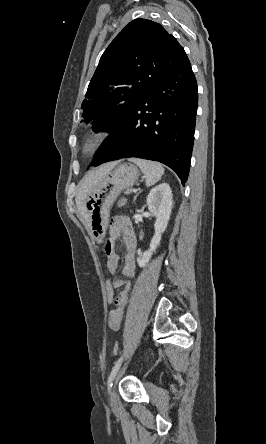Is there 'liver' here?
I'll return each mask as SVG.
<instances>
[{
    "label": "liver",
    "instance_id": "obj_1",
    "mask_svg": "<svg viewBox=\"0 0 266 444\" xmlns=\"http://www.w3.org/2000/svg\"><path fill=\"white\" fill-rule=\"evenodd\" d=\"M117 165V162L103 164L98 169L89 172L79 183L78 193L76 195V205L85 219L84 202L92 189ZM86 222V220H85ZM86 228L88 226L86 224ZM89 230V229H88Z\"/></svg>",
    "mask_w": 266,
    "mask_h": 444
}]
</instances>
